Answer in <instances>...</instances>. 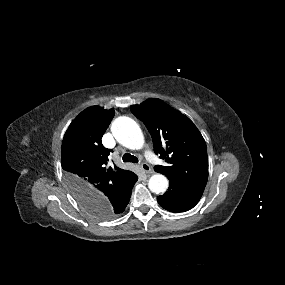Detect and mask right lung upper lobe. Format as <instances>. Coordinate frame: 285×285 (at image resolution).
<instances>
[{"label": "right lung upper lobe", "instance_id": "cb5924a9", "mask_svg": "<svg viewBox=\"0 0 285 285\" xmlns=\"http://www.w3.org/2000/svg\"><path fill=\"white\" fill-rule=\"evenodd\" d=\"M115 112L89 107L68 127L62 142L61 164L71 190L82 206L122 190L136 174L116 166L107 167L112 152L101 138Z\"/></svg>", "mask_w": 285, "mask_h": 285}]
</instances>
